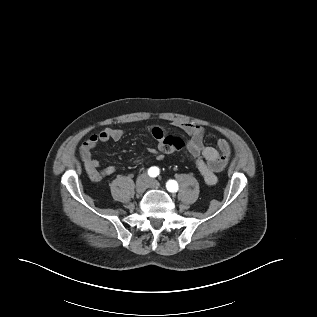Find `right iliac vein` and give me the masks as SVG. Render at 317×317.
<instances>
[{
    "mask_svg": "<svg viewBox=\"0 0 317 317\" xmlns=\"http://www.w3.org/2000/svg\"><path fill=\"white\" fill-rule=\"evenodd\" d=\"M149 184V179L146 175H141L136 181V192L142 194L145 192Z\"/></svg>",
    "mask_w": 317,
    "mask_h": 317,
    "instance_id": "1",
    "label": "right iliac vein"
}]
</instances>
